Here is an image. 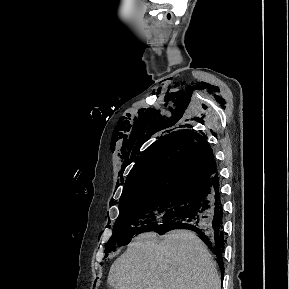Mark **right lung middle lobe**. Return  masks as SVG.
I'll list each match as a JSON object with an SVG mask.
<instances>
[{
    "label": "right lung middle lobe",
    "mask_w": 289,
    "mask_h": 289,
    "mask_svg": "<svg viewBox=\"0 0 289 289\" xmlns=\"http://www.w3.org/2000/svg\"><path fill=\"white\" fill-rule=\"evenodd\" d=\"M197 195L185 191H172L137 196L119 203L113 235L105 246V253L114 251L130 239L148 230L156 231L183 216L195 203Z\"/></svg>",
    "instance_id": "obj_1"
}]
</instances>
